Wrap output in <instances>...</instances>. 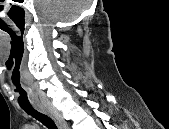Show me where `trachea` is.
I'll use <instances>...</instances> for the list:
<instances>
[{"label":"trachea","instance_id":"3493384b","mask_svg":"<svg viewBox=\"0 0 169 129\" xmlns=\"http://www.w3.org/2000/svg\"><path fill=\"white\" fill-rule=\"evenodd\" d=\"M21 108L30 116L38 120L48 129H58L56 124L46 114L38 111L33 106H21Z\"/></svg>","mask_w":169,"mask_h":129}]
</instances>
